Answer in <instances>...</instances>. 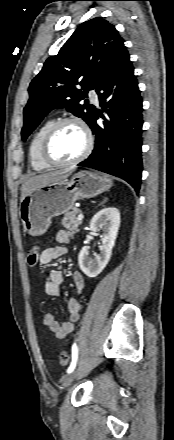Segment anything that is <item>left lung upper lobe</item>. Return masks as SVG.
I'll list each match as a JSON object with an SVG mask.
<instances>
[{
  "instance_id": "obj_1",
  "label": "left lung upper lobe",
  "mask_w": 174,
  "mask_h": 440,
  "mask_svg": "<svg viewBox=\"0 0 174 440\" xmlns=\"http://www.w3.org/2000/svg\"><path fill=\"white\" fill-rule=\"evenodd\" d=\"M124 48L123 38L103 18L82 23L30 83L22 139L26 140L54 108L65 107L88 123L95 109L79 102L89 89L97 90L103 75Z\"/></svg>"
}]
</instances>
